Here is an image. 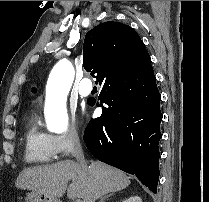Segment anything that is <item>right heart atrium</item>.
Listing matches in <instances>:
<instances>
[{
  "mask_svg": "<svg viewBox=\"0 0 209 202\" xmlns=\"http://www.w3.org/2000/svg\"><path fill=\"white\" fill-rule=\"evenodd\" d=\"M50 140L57 155L63 157L73 154L80 147V135L74 125L63 134L51 135ZM66 165L71 175L77 176L82 173V169L73 162L67 161Z\"/></svg>",
  "mask_w": 209,
  "mask_h": 202,
  "instance_id": "obj_1",
  "label": "right heart atrium"
}]
</instances>
